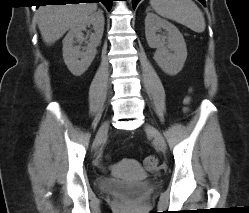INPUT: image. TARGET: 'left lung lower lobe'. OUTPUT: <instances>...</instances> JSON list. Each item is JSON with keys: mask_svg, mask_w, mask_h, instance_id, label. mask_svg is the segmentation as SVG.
<instances>
[{"mask_svg": "<svg viewBox=\"0 0 249 213\" xmlns=\"http://www.w3.org/2000/svg\"><path fill=\"white\" fill-rule=\"evenodd\" d=\"M140 0H132V3H133V8L135 9L137 3L139 2ZM203 5H205V2L204 0H199Z\"/></svg>", "mask_w": 249, "mask_h": 213, "instance_id": "obj_1", "label": "left lung lower lobe"}]
</instances>
